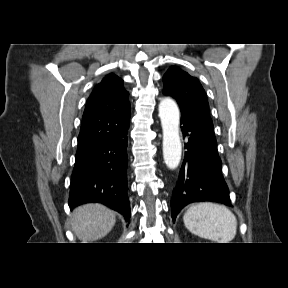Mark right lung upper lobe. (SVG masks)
Listing matches in <instances>:
<instances>
[{
	"label": "right lung upper lobe",
	"mask_w": 288,
	"mask_h": 288,
	"mask_svg": "<svg viewBox=\"0 0 288 288\" xmlns=\"http://www.w3.org/2000/svg\"><path fill=\"white\" fill-rule=\"evenodd\" d=\"M129 93L123 80L108 74L95 86L83 114L77 152L94 147L129 126Z\"/></svg>",
	"instance_id": "right-lung-upper-lobe-1"
}]
</instances>
